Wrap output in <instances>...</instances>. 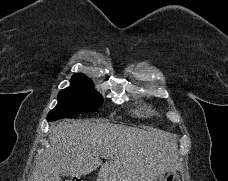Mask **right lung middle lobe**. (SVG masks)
I'll use <instances>...</instances> for the list:
<instances>
[{
    "mask_svg": "<svg viewBox=\"0 0 228 181\" xmlns=\"http://www.w3.org/2000/svg\"><path fill=\"white\" fill-rule=\"evenodd\" d=\"M103 104L102 96L93 84L70 86L58 94V104L47 116V121L70 117L85 112H95Z\"/></svg>",
    "mask_w": 228,
    "mask_h": 181,
    "instance_id": "1",
    "label": "right lung middle lobe"
}]
</instances>
